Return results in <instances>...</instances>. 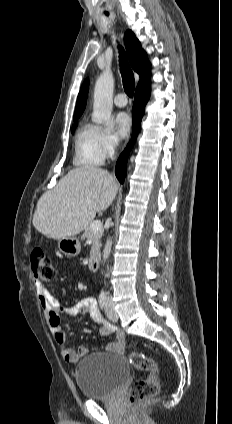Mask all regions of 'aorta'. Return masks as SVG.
I'll list each match as a JSON object with an SVG mask.
<instances>
[{"instance_id":"1","label":"aorta","mask_w":232,"mask_h":424,"mask_svg":"<svg viewBox=\"0 0 232 424\" xmlns=\"http://www.w3.org/2000/svg\"><path fill=\"white\" fill-rule=\"evenodd\" d=\"M113 89V73L111 69L107 67L101 73L95 84L92 120L95 123L101 124L109 129L114 125L111 119L113 107ZM111 247L112 239L109 238L107 239L103 250L104 262L109 258Z\"/></svg>"}]
</instances>
